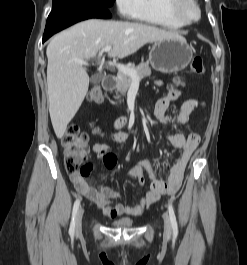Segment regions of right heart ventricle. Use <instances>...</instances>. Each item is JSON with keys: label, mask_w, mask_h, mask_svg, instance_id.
<instances>
[{"label": "right heart ventricle", "mask_w": 247, "mask_h": 265, "mask_svg": "<svg viewBox=\"0 0 247 265\" xmlns=\"http://www.w3.org/2000/svg\"><path fill=\"white\" fill-rule=\"evenodd\" d=\"M169 2L170 0H139V8L134 18L169 29L184 27L171 13Z\"/></svg>", "instance_id": "1"}]
</instances>
